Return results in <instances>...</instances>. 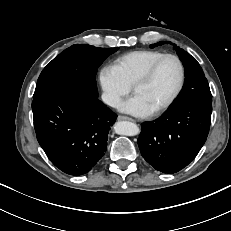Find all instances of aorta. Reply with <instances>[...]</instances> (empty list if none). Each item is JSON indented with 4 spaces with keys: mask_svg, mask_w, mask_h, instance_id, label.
<instances>
[{
    "mask_svg": "<svg viewBox=\"0 0 231 231\" xmlns=\"http://www.w3.org/2000/svg\"><path fill=\"white\" fill-rule=\"evenodd\" d=\"M114 131L119 135L126 136H135L140 133L139 127L135 123L129 121L116 122L114 125Z\"/></svg>",
    "mask_w": 231,
    "mask_h": 231,
    "instance_id": "1",
    "label": "aorta"
}]
</instances>
